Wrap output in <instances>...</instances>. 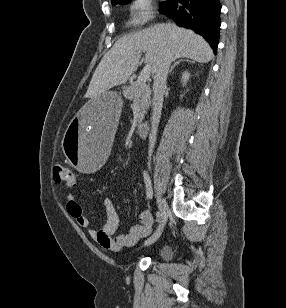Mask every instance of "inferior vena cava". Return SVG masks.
Listing matches in <instances>:
<instances>
[{
    "label": "inferior vena cava",
    "instance_id": "602c4592",
    "mask_svg": "<svg viewBox=\"0 0 286 308\" xmlns=\"http://www.w3.org/2000/svg\"><path fill=\"white\" fill-rule=\"evenodd\" d=\"M174 60L172 52L168 51L159 64L153 81L151 132L149 134V152H152L156 141L157 128L159 125L163 104V94L166 89L167 76L171 62Z\"/></svg>",
    "mask_w": 286,
    "mask_h": 308
}]
</instances>
